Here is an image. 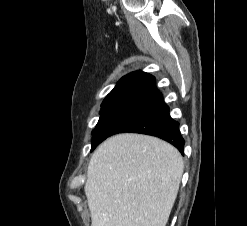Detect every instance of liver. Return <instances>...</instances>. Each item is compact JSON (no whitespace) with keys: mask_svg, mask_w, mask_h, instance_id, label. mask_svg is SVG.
<instances>
[{"mask_svg":"<svg viewBox=\"0 0 247 226\" xmlns=\"http://www.w3.org/2000/svg\"><path fill=\"white\" fill-rule=\"evenodd\" d=\"M183 170L181 154L165 141L129 133L110 137L87 169L91 226H166Z\"/></svg>","mask_w":247,"mask_h":226,"instance_id":"6515ba94","label":"liver"}]
</instances>
